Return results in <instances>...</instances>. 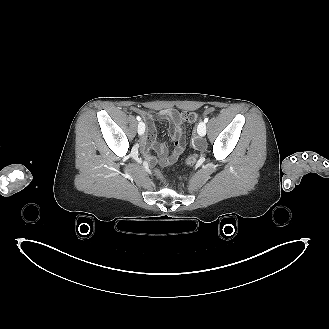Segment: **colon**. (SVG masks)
<instances>
[{"label":"colon","instance_id":"1","mask_svg":"<svg viewBox=\"0 0 329 329\" xmlns=\"http://www.w3.org/2000/svg\"><path fill=\"white\" fill-rule=\"evenodd\" d=\"M200 115L195 111H183L181 112V119L186 123H195L199 120ZM194 159L190 158L189 163H193Z\"/></svg>","mask_w":329,"mask_h":329}]
</instances>
